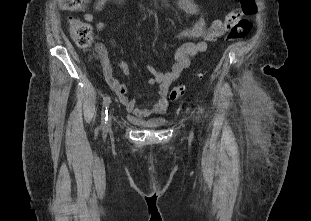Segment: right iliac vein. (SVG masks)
Returning a JSON list of instances; mask_svg holds the SVG:
<instances>
[{"instance_id": "obj_1", "label": "right iliac vein", "mask_w": 311, "mask_h": 221, "mask_svg": "<svg viewBox=\"0 0 311 221\" xmlns=\"http://www.w3.org/2000/svg\"><path fill=\"white\" fill-rule=\"evenodd\" d=\"M110 128V124H108V129Z\"/></svg>"}]
</instances>
